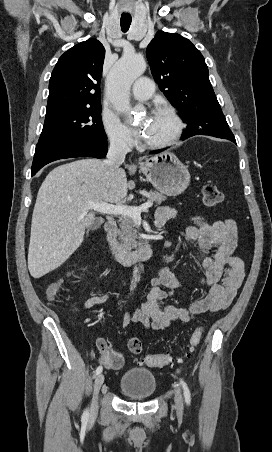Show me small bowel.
Here are the masks:
<instances>
[{
	"label": "small bowel",
	"mask_w": 272,
	"mask_h": 452,
	"mask_svg": "<svg viewBox=\"0 0 272 452\" xmlns=\"http://www.w3.org/2000/svg\"><path fill=\"white\" fill-rule=\"evenodd\" d=\"M176 218L174 208L161 206L156 211L155 225L162 227ZM190 221L191 224L185 229V246L195 248V259L202 272L201 283L208 293L187 307L161 306L163 300L182 286L170 270L175 254L164 252L161 255L163 267L158 276L150 281L146 300L132 312L125 313L124 327L139 323L146 329L163 331L173 323L187 324L198 314L224 310L232 303L245 277L244 263L235 254L238 244L235 222L226 219L209 223L200 216H192ZM109 297L108 291L100 290L84 302V308L103 304ZM134 339L140 341L138 337L130 336L128 343Z\"/></svg>",
	"instance_id": "small-bowel-1"
}]
</instances>
